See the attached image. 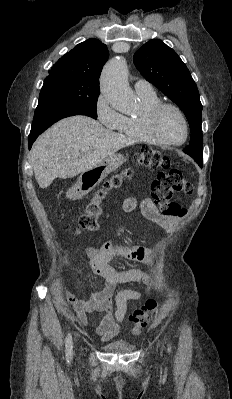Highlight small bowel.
I'll list each match as a JSON object with an SVG mask.
<instances>
[{
    "label": "small bowel",
    "mask_w": 232,
    "mask_h": 399,
    "mask_svg": "<svg viewBox=\"0 0 232 399\" xmlns=\"http://www.w3.org/2000/svg\"><path fill=\"white\" fill-rule=\"evenodd\" d=\"M139 204L146 215L154 216L158 213V209L151 199L139 202L134 195L124 200L123 207L129 211L135 209ZM89 253L94 261L95 272L103 280L102 288L87 299L82 298L79 294L68 292H64L62 298L81 326L87 324L86 313L88 311L94 310L103 315L95 331L98 341L105 343L123 329V321L128 306L143 296V292L140 290H124L115 294L116 287L130 284L141 285L148 282V277L139 271H130L125 274L115 273L109 266L110 259L119 256L123 259H132L153 266L158 264V260L152 252L137 247L128 241L107 242L100 249L90 248ZM69 286L75 288L73 283ZM113 299L116 300L118 307L115 318L111 315Z\"/></svg>",
    "instance_id": "small-bowel-1"
}]
</instances>
